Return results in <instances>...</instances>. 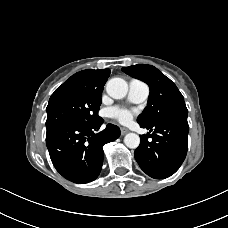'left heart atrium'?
Instances as JSON below:
<instances>
[{"label": "left heart atrium", "mask_w": 228, "mask_h": 228, "mask_svg": "<svg viewBox=\"0 0 228 228\" xmlns=\"http://www.w3.org/2000/svg\"><path fill=\"white\" fill-rule=\"evenodd\" d=\"M110 115L121 123H128L132 119V113L122 108H111Z\"/></svg>", "instance_id": "obj_1"}]
</instances>
